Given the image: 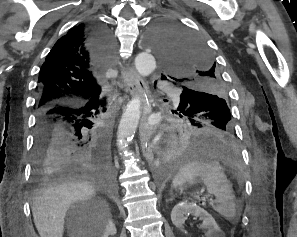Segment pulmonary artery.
Instances as JSON below:
<instances>
[{"label":"pulmonary artery","instance_id":"e3ab8cb5","mask_svg":"<svg viewBox=\"0 0 297 237\" xmlns=\"http://www.w3.org/2000/svg\"><path fill=\"white\" fill-rule=\"evenodd\" d=\"M160 88H162L163 90H170L171 85L169 83H163V84L160 85Z\"/></svg>","mask_w":297,"mask_h":237}]
</instances>
